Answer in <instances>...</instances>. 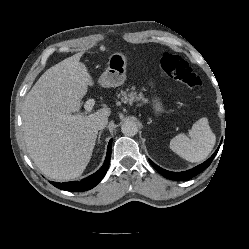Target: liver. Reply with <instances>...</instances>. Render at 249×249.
<instances>
[{"instance_id":"obj_1","label":"liver","mask_w":249,"mask_h":249,"mask_svg":"<svg viewBox=\"0 0 249 249\" xmlns=\"http://www.w3.org/2000/svg\"><path fill=\"white\" fill-rule=\"evenodd\" d=\"M82 54L46 70L23 103L27 152L39 170L56 181L72 180L83 173L98 134L95 121L111 113L106 107L89 115L80 113L88 85H94L80 62Z\"/></svg>"}]
</instances>
